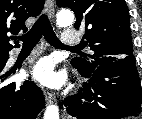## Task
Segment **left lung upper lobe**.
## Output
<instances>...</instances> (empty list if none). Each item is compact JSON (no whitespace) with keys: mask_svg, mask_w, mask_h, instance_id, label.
I'll return each mask as SVG.
<instances>
[{"mask_svg":"<svg viewBox=\"0 0 142 119\" xmlns=\"http://www.w3.org/2000/svg\"><path fill=\"white\" fill-rule=\"evenodd\" d=\"M58 7H68L76 15L75 29L85 28V46L94 52L93 60L76 57L71 64L79 72L92 71L99 65L131 60L133 56L130 18L124 0H56Z\"/></svg>","mask_w":142,"mask_h":119,"instance_id":"1","label":"left lung upper lobe"}]
</instances>
